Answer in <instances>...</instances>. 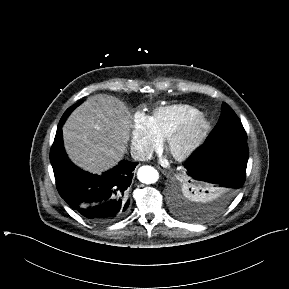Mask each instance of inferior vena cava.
Instances as JSON below:
<instances>
[{"mask_svg": "<svg viewBox=\"0 0 289 289\" xmlns=\"http://www.w3.org/2000/svg\"><path fill=\"white\" fill-rule=\"evenodd\" d=\"M131 156L134 160L146 161V160H149L152 155L150 152L146 151L145 149L132 147Z\"/></svg>", "mask_w": 289, "mask_h": 289, "instance_id": "inferior-vena-cava-1", "label": "inferior vena cava"}]
</instances>
